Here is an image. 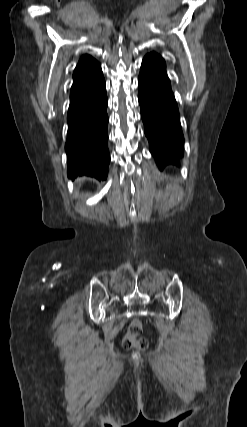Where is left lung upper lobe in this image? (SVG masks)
<instances>
[{"instance_id":"left-lung-upper-lobe-1","label":"left lung upper lobe","mask_w":247,"mask_h":427,"mask_svg":"<svg viewBox=\"0 0 247 427\" xmlns=\"http://www.w3.org/2000/svg\"><path fill=\"white\" fill-rule=\"evenodd\" d=\"M147 56L158 60L161 64H163L165 66L164 59L160 55L156 54L155 52H151L150 54H147Z\"/></svg>"}]
</instances>
